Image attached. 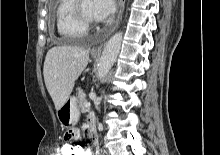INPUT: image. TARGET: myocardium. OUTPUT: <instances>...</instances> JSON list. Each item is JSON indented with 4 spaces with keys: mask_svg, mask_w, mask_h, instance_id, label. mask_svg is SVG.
<instances>
[{
    "mask_svg": "<svg viewBox=\"0 0 220 155\" xmlns=\"http://www.w3.org/2000/svg\"><path fill=\"white\" fill-rule=\"evenodd\" d=\"M73 15L75 20L82 26L89 28L95 25V20L86 15L83 10L82 0H74Z\"/></svg>",
    "mask_w": 220,
    "mask_h": 155,
    "instance_id": "obj_1",
    "label": "myocardium"
}]
</instances>
